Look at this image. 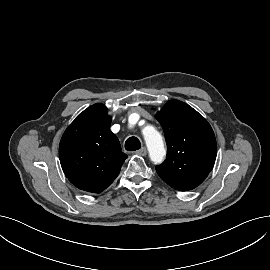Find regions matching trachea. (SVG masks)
<instances>
[{"instance_id":"obj_1","label":"trachea","mask_w":270,"mask_h":270,"mask_svg":"<svg viewBox=\"0 0 270 270\" xmlns=\"http://www.w3.org/2000/svg\"><path fill=\"white\" fill-rule=\"evenodd\" d=\"M141 148V143L138 138L130 137L125 142V149L127 151H136Z\"/></svg>"}]
</instances>
